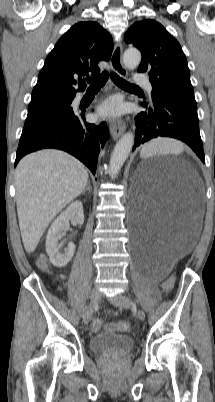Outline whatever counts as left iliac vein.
<instances>
[{"mask_svg": "<svg viewBox=\"0 0 215 402\" xmlns=\"http://www.w3.org/2000/svg\"><path fill=\"white\" fill-rule=\"evenodd\" d=\"M109 301L112 304H114V305H116V306H118L120 308H124V309H128L131 306L130 299L128 297H126L125 295H122V294H118V295H116L114 297L109 298ZM137 316L141 321H143L145 319L144 311L139 309L137 311Z\"/></svg>", "mask_w": 215, "mask_h": 402, "instance_id": "1", "label": "left iliac vein"}]
</instances>
